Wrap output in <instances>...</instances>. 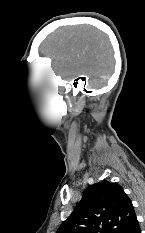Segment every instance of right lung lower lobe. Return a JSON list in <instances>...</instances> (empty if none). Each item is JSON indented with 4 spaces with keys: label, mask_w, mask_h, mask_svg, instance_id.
Listing matches in <instances>:
<instances>
[{
    "label": "right lung lower lobe",
    "mask_w": 145,
    "mask_h": 233,
    "mask_svg": "<svg viewBox=\"0 0 145 233\" xmlns=\"http://www.w3.org/2000/svg\"><path fill=\"white\" fill-rule=\"evenodd\" d=\"M125 233H141L139 223L136 217L134 218L128 229L125 231Z\"/></svg>",
    "instance_id": "98d812e1"
}]
</instances>
